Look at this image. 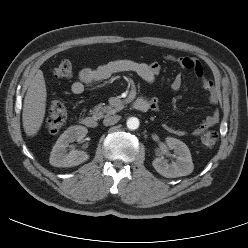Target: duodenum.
Returning a JSON list of instances; mask_svg holds the SVG:
<instances>
[{
    "instance_id": "410a0bca",
    "label": "duodenum",
    "mask_w": 248,
    "mask_h": 248,
    "mask_svg": "<svg viewBox=\"0 0 248 248\" xmlns=\"http://www.w3.org/2000/svg\"><path fill=\"white\" fill-rule=\"evenodd\" d=\"M128 101L131 99L128 98ZM132 107L134 110L139 112H145L150 109V103L146 98H138L132 102ZM99 118L97 115H88L82 119V124L90 129L96 128L98 125Z\"/></svg>"
}]
</instances>
